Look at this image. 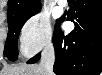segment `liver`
<instances>
[{
    "label": "liver",
    "mask_w": 102,
    "mask_h": 75,
    "mask_svg": "<svg viewBox=\"0 0 102 75\" xmlns=\"http://www.w3.org/2000/svg\"><path fill=\"white\" fill-rule=\"evenodd\" d=\"M1 75H47L46 70L41 64L19 65L6 67L1 72Z\"/></svg>",
    "instance_id": "6515ba94"
}]
</instances>
